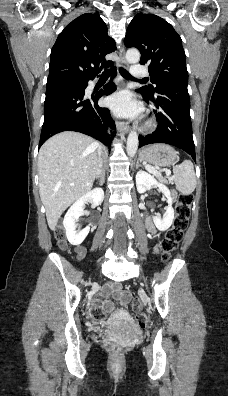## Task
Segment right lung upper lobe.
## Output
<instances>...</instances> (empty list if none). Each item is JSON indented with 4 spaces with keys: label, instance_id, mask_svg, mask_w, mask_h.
Here are the masks:
<instances>
[{
    "label": "right lung upper lobe",
    "instance_id": "right-lung-upper-lobe-1",
    "mask_svg": "<svg viewBox=\"0 0 228 396\" xmlns=\"http://www.w3.org/2000/svg\"><path fill=\"white\" fill-rule=\"evenodd\" d=\"M115 49V41L98 14L77 17L59 34L51 50L47 85L94 79L103 67L113 65L105 56Z\"/></svg>",
    "mask_w": 228,
    "mask_h": 396
}]
</instances>
